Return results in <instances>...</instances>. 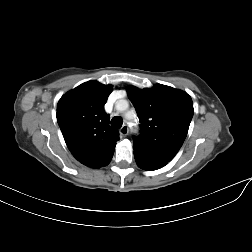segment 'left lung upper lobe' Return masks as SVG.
I'll return each mask as SVG.
<instances>
[{
  "label": "left lung upper lobe",
  "instance_id": "obj_1",
  "mask_svg": "<svg viewBox=\"0 0 252 252\" xmlns=\"http://www.w3.org/2000/svg\"><path fill=\"white\" fill-rule=\"evenodd\" d=\"M140 120L134 147L146 154L171 161L187 136L194 109L184 91L157 84L154 88H127Z\"/></svg>",
  "mask_w": 252,
  "mask_h": 252
}]
</instances>
